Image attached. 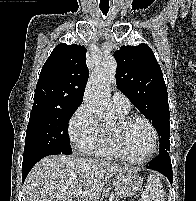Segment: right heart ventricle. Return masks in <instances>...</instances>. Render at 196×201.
Returning a JSON list of instances; mask_svg holds the SVG:
<instances>
[{
    "instance_id": "e07e8e85",
    "label": "right heart ventricle",
    "mask_w": 196,
    "mask_h": 201,
    "mask_svg": "<svg viewBox=\"0 0 196 201\" xmlns=\"http://www.w3.org/2000/svg\"><path fill=\"white\" fill-rule=\"evenodd\" d=\"M120 117L126 116L128 112H122L116 110ZM102 138L98 147L93 151L92 155L99 159L107 160H123V157L118 152L113 136L112 128L108 126H101Z\"/></svg>"
}]
</instances>
